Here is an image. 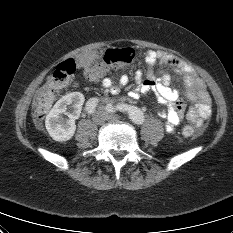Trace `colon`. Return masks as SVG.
Segmentation results:
<instances>
[{
  "label": "colon",
  "mask_w": 233,
  "mask_h": 233,
  "mask_svg": "<svg viewBox=\"0 0 233 233\" xmlns=\"http://www.w3.org/2000/svg\"><path fill=\"white\" fill-rule=\"evenodd\" d=\"M135 52L131 48L109 49L106 51L103 61L88 66L85 76L90 81H98L111 68L121 67L132 62ZM76 71V63L68 59L60 63L55 71L49 76L46 83L38 90L34 100V114L42 119L52 106L58 92L67 83ZM203 132L198 125H187L183 128L186 138H194Z\"/></svg>",
  "instance_id": "1"
}]
</instances>
